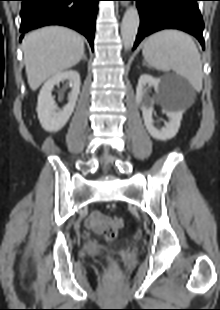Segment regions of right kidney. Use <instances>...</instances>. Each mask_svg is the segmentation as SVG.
<instances>
[{
	"label": "right kidney",
	"mask_w": 220,
	"mask_h": 310,
	"mask_svg": "<svg viewBox=\"0 0 220 310\" xmlns=\"http://www.w3.org/2000/svg\"><path fill=\"white\" fill-rule=\"evenodd\" d=\"M68 80L71 92L68 96V103L62 110H59L55 104L52 90L55 85ZM80 75L75 70H66L59 72L49 78L38 95L37 114L42 128L49 132L61 130L68 122L76 106V101L80 93Z\"/></svg>",
	"instance_id": "1"
}]
</instances>
